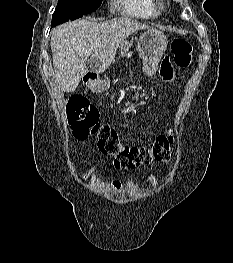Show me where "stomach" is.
Here are the masks:
<instances>
[{"instance_id":"1","label":"stomach","mask_w":233,"mask_h":263,"mask_svg":"<svg viewBox=\"0 0 233 263\" xmlns=\"http://www.w3.org/2000/svg\"><path fill=\"white\" fill-rule=\"evenodd\" d=\"M167 38L163 32L157 29H149L141 35L138 40L137 49L143 59V69L147 75L152 76L157 69V64L167 48ZM92 90L104 91L108 84L106 81H95L89 83Z\"/></svg>"}]
</instances>
